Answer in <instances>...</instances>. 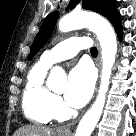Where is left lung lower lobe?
Masks as SVG:
<instances>
[{"label": "left lung lower lobe", "mask_w": 136, "mask_h": 136, "mask_svg": "<svg viewBox=\"0 0 136 136\" xmlns=\"http://www.w3.org/2000/svg\"><path fill=\"white\" fill-rule=\"evenodd\" d=\"M116 33L118 35V38L121 39L122 38V25L121 23H119L116 27H115Z\"/></svg>", "instance_id": "left-lung-lower-lobe-1"}]
</instances>
